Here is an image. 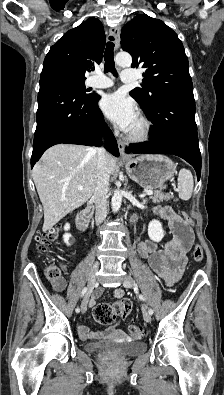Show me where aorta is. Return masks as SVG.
Listing matches in <instances>:
<instances>
[{
  "label": "aorta",
  "instance_id": "1",
  "mask_svg": "<svg viewBox=\"0 0 224 395\" xmlns=\"http://www.w3.org/2000/svg\"><path fill=\"white\" fill-rule=\"evenodd\" d=\"M115 62L120 67H129L132 63V57L129 53H118L115 57ZM122 203V195L119 190H115L112 196L111 204L112 211L117 212Z\"/></svg>",
  "mask_w": 224,
  "mask_h": 395
}]
</instances>
